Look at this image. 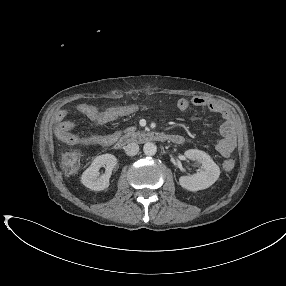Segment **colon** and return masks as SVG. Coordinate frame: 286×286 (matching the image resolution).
Masks as SVG:
<instances>
[{
    "label": "colon",
    "instance_id": "colon-1",
    "mask_svg": "<svg viewBox=\"0 0 286 286\" xmlns=\"http://www.w3.org/2000/svg\"><path fill=\"white\" fill-rule=\"evenodd\" d=\"M80 162V155L77 151L69 150L65 152L62 156V164L68 170H74ZM234 166L233 160H227L224 164L225 169H232Z\"/></svg>",
    "mask_w": 286,
    "mask_h": 286
}]
</instances>
